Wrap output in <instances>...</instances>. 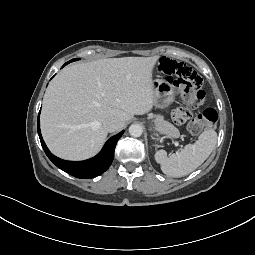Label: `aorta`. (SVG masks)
I'll return each mask as SVG.
<instances>
[{
  "label": "aorta",
  "mask_w": 255,
  "mask_h": 255,
  "mask_svg": "<svg viewBox=\"0 0 255 255\" xmlns=\"http://www.w3.org/2000/svg\"><path fill=\"white\" fill-rule=\"evenodd\" d=\"M143 129L139 124H132L129 127V133L133 137H140L142 135Z\"/></svg>",
  "instance_id": "obj_1"
}]
</instances>
